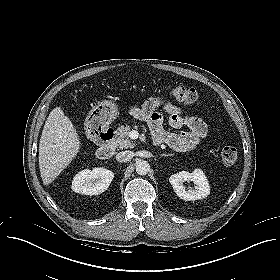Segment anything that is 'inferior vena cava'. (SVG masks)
<instances>
[{
	"label": "inferior vena cava",
	"instance_id": "602c4592",
	"mask_svg": "<svg viewBox=\"0 0 280 280\" xmlns=\"http://www.w3.org/2000/svg\"><path fill=\"white\" fill-rule=\"evenodd\" d=\"M134 156V153L132 151L126 150L121 151L116 155V160L118 162H128L130 161Z\"/></svg>",
	"mask_w": 280,
	"mask_h": 280
}]
</instances>
